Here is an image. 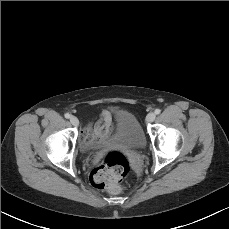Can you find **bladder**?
I'll list each match as a JSON object with an SVG mask.
<instances>
[{
    "instance_id": "bladder-1",
    "label": "bladder",
    "mask_w": 229,
    "mask_h": 229,
    "mask_svg": "<svg viewBox=\"0 0 229 229\" xmlns=\"http://www.w3.org/2000/svg\"><path fill=\"white\" fill-rule=\"evenodd\" d=\"M115 143L130 148H143L146 145V135L138 119L129 111H121L116 119L113 135L88 139L83 143L88 152L105 144Z\"/></svg>"
}]
</instances>
